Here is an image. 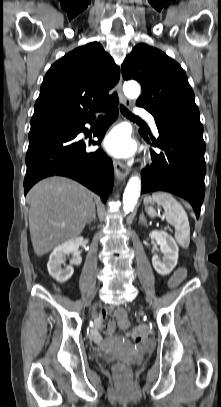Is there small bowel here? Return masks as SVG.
Listing matches in <instances>:
<instances>
[{"label": "small bowel", "instance_id": "c3829d8e", "mask_svg": "<svg viewBox=\"0 0 221 407\" xmlns=\"http://www.w3.org/2000/svg\"><path fill=\"white\" fill-rule=\"evenodd\" d=\"M118 310L119 309L113 312L111 307H107L100 312L97 319V328L93 329L90 333V337L94 342L99 343L101 341V335L98 332V329H104L107 332H113L115 330V320ZM112 315L114 316V319L111 317Z\"/></svg>", "mask_w": 221, "mask_h": 407}]
</instances>
